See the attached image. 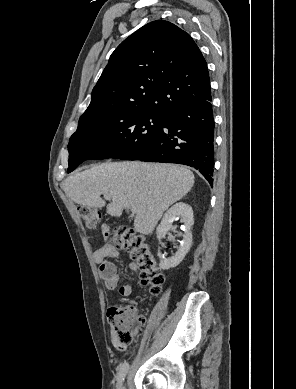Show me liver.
Returning <instances> with one entry per match:
<instances>
[{
	"label": "liver",
	"instance_id": "obj_1",
	"mask_svg": "<svg viewBox=\"0 0 296 389\" xmlns=\"http://www.w3.org/2000/svg\"><path fill=\"white\" fill-rule=\"evenodd\" d=\"M194 174L187 168L162 163L106 162L67 177L62 189L75 203L102 208L120 217L124 209L135 208L134 230L151 234L163 212L182 199L193 187Z\"/></svg>",
	"mask_w": 296,
	"mask_h": 389
}]
</instances>
